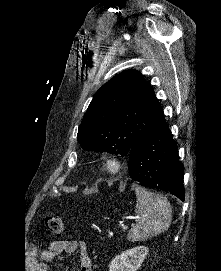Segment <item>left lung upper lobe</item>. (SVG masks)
<instances>
[{
    "instance_id": "left-lung-upper-lobe-1",
    "label": "left lung upper lobe",
    "mask_w": 221,
    "mask_h": 271,
    "mask_svg": "<svg viewBox=\"0 0 221 271\" xmlns=\"http://www.w3.org/2000/svg\"><path fill=\"white\" fill-rule=\"evenodd\" d=\"M165 120L151 85L140 72L128 70L94 95L78 130L85 150L128 155L148 131Z\"/></svg>"
}]
</instances>
